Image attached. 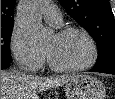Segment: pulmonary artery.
Segmentation results:
<instances>
[{
  "label": "pulmonary artery",
  "mask_w": 115,
  "mask_h": 99,
  "mask_svg": "<svg viewBox=\"0 0 115 99\" xmlns=\"http://www.w3.org/2000/svg\"><path fill=\"white\" fill-rule=\"evenodd\" d=\"M44 19L55 26L61 24L62 16L60 10L55 5H47L43 9Z\"/></svg>",
  "instance_id": "obj_1"
}]
</instances>
